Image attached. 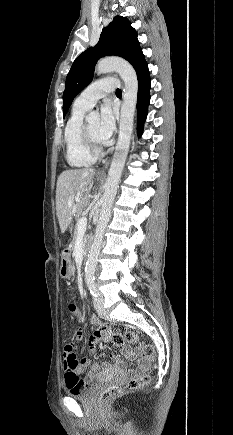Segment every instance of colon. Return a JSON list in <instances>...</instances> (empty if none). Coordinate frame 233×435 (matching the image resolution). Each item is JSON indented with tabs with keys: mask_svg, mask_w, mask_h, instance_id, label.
Listing matches in <instances>:
<instances>
[{
	"mask_svg": "<svg viewBox=\"0 0 233 435\" xmlns=\"http://www.w3.org/2000/svg\"><path fill=\"white\" fill-rule=\"evenodd\" d=\"M71 310L74 308L71 306ZM111 340L116 345H122L124 343H134L137 345L139 352L144 360L147 362H154L156 359V349L154 346L145 343L141 340L137 333L134 331H127L125 333H120L114 331L111 334ZM64 356L68 354H73V345L71 343H66L63 347ZM150 372L142 373L134 376L125 384H118L114 386H107L102 389L99 394L98 400L103 405L110 404L114 399H116L120 394L138 390L144 385L148 384L150 381ZM68 390L72 393L80 392V390L86 387V384L75 374H70L67 376Z\"/></svg>",
	"mask_w": 233,
	"mask_h": 435,
	"instance_id": "colon-1",
	"label": "colon"
}]
</instances>
